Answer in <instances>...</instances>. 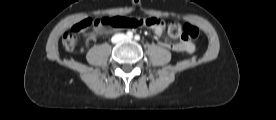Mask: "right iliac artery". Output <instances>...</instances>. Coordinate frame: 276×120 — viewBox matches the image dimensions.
<instances>
[{
  "instance_id": "82829eb1",
  "label": "right iliac artery",
  "mask_w": 276,
  "mask_h": 120,
  "mask_svg": "<svg viewBox=\"0 0 276 120\" xmlns=\"http://www.w3.org/2000/svg\"><path fill=\"white\" fill-rule=\"evenodd\" d=\"M126 35H127V37L132 38L133 33L131 31H128Z\"/></svg>"
}]
</instances>
